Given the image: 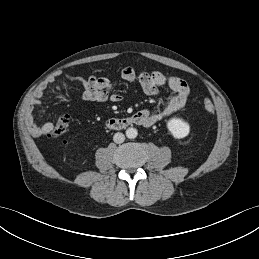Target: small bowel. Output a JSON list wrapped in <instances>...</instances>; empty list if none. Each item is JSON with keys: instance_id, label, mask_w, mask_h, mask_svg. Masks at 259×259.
<instances>
[{"instance_id": "obj_1", "label": "small bowel", "mask_w": 259, "mask_h": 259, "mask_svg": "<svg viewBox=\"0 0 259 259\" xmlns=\"http://www.w3.org/2000/svg\"><path fill=\"white\" fill-rule=\"evenodd\" d=\"M65 77L78 83L82 87V98L91 102H120L122 96L114 91L113 84L105 77H83L74 74H66ZM121 77L127 82L137 81L145 94L152 95L158 91L159 87L166 86L172 94L166 99L161 107L156 110H141L135 114L138 117V124L151 126L164 117L183 108L187 103L190 89L188 84L181 78L171 76L162 71L137 72L132 67H125L121 71ZM62 90L61 86L57 87ZM45 91L44 87L39 88L29 102L25 115V123L29 132L34 136L49 135L54 125L51 122L39 125L35 122L34 109L40 103V98Z\"/></svg>"}]
</instances>
